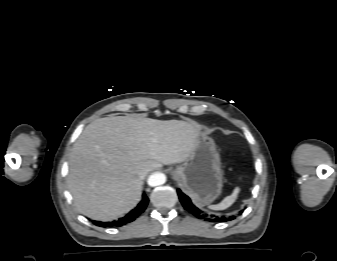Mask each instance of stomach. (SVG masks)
Returning a JSON list of instances; mask_svg holds the SVG:
<instances>
[{"label":"stomach","mask_w":337,"mask_h":261,"mask_svg":"<svg viewBox=\"0 0 337 261\" xmlns=\"http://www.w3.org/2000/svg\"><path fill=\"white\" fill-rule=\"evenodd\" d=\"M172 175L199 204H210L220 195L223 187L220 155L206 129H201L194 150Z\"/></svg>","instance_id":"0dacf381"}]
</instances>
